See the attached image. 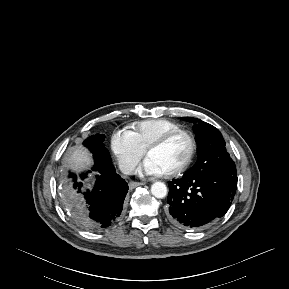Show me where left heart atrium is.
Returning <instances> with one entry per match:
<instances>
[{"label": "left heart atrium", "instance_id": "obj_1", "mask_svg": "<svg viewBox=\"0 0 289 289\" xmlns=\"http://www.w3.org/2000/svg\"><path fill=\"white\" fill-rule=\"evenodd\" d=\"M143 176L156 177L164 175L162 169L150 158H147L140 168Z\"/></svg>", "mask_w": 289, "mask_h": 289}]
</instances>
